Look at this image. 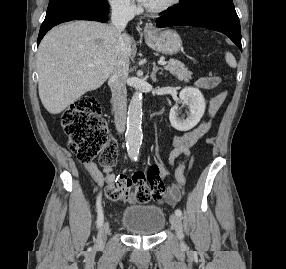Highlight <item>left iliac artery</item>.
Wrapping results in <instances>:
<instances>
[{
    "label": "left iliac artery",
    "mask_w": 286,
    "mask_h": 269,
    "mask_svg": "<svg viewBox=\"0 0 286 269\" xmlns=\"http://www.w3.org/2000/svg\"><path fill=\"white\" fill-rule=\"evenodd\" d=\"M175 214L180 217L182 215V211L180 209H176Z\"/></svg>",
    "instance_id": "obj_1"
}]
</instances>
